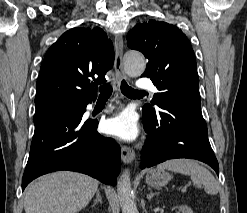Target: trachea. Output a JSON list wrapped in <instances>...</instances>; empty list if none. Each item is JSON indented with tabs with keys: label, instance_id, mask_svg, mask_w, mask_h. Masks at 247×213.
Listing matches in <instances>:
<instances>
[{
	"label": "trachea",
	"instance_id": "obj_1",
	"mask_svg": "<svg viewBox=\"0 0 247 213\" xmlns=\"http://www.w3.org/2000/svg\"><path fill=\"white\" fill-rule=\"evenodd\" d=\"M100 95L99 99H108L112 94V86L110 83H107L99 88ZM121 92L126 96H132L139 93H142L143 91L135 90L132 87H130L125 80H122L121 82Z\"/></svg>",
	"mask_w": 247,
	"mask_h": 213
}]
</instances>
